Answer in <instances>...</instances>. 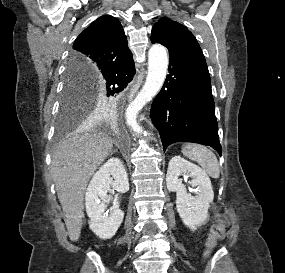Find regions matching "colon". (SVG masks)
<instances>
[{"label":"colon","mask_w":285,"mask_h":273,"mask_svg":"<svg viewBox=\"0 0 285 273\" xmlns=\"http://www.w3.org/2000/svg\"><path fill=\"white\" fill-rule=\"evenodd\" d=\"M228 224L224 215L217 213L214 216V223L210 230V235L206 243V255H208L216 246L217 241L224 236L225 228Z\"/></svg>","instance_id":"obj_1"}]
</instances>
